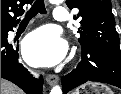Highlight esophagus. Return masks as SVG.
Returning a JSON list of instances; mask_svg holds the SVG:
<instances>
[{
	"instance_id": "esophagus-1",
	"label": "esophagus",
	"mask_w": 121,
	"mask_h": 94,
	"mask_svg": "<svg viewBox=\"0 0 121 94\" xmlns=\"http://www.w3.org/2000/svg\"><path fill=\"white\" fill-rule=\"evenodd\" d=\"M46 81L50 86H53L58 83L59 77L57 75H47Z\"/></svg>"
}]
</instances>
